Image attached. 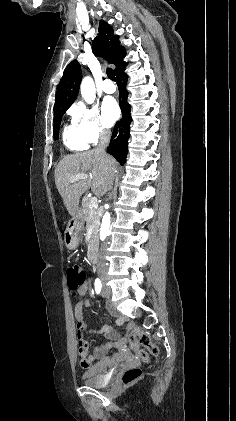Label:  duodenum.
<instances>
[{
    "label": "duodenum",
    "mask_w": 236,
    "mask_h": 421,
    "mask_svg": "<svg viewBox=\"0 0 236 421\" xmlns=\"http://www.w3.org/2000/svg\"><path fill=\"white\" fill-rule=\"evenodd\" d=\"M88 258L91 262L95 263L97 261V246L96 239L93 237L88 246ZM80 341L84 343L82 334L79 332ZM124 341L121 340L118 343L119 347H122ZM109 348V345H104L98 348L97 353L91 356V362H97L93 367L95 371L102 370L105 366L112 367L118 360L121 359V355H115L112 358L107 357L105 354Z\"/></svg>",
    "instance_id": "duodenum-1"
}]
</instances>
